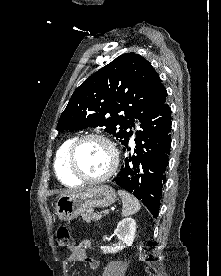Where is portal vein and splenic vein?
I'll use <instances>...</instances> for the list:
<instances>
[{
  "instance_id": "18ae733b",
  "label": "portal vein and splenic vein",
  "mask_w": 221,
  "mask_h": 276,
  "mask_svg": "<svg viewBox=\"0 0 221 276\" xmlns=\"http://www.w3.org/2000/svg\"><path fill=\"white\" fill-rule=\"evenodd\" d=\"M103 213H104L105 215H107V214L109 213V210H105V211H103Z\"/></svg>"
}]
</instances>
